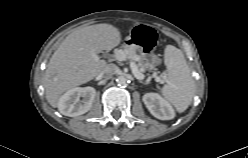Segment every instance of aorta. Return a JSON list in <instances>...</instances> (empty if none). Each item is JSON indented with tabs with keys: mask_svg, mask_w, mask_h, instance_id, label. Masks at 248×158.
I'll list each match as a JSON object with an SVG mask.
<instances>
[{
	"mask_svg": "<svg viewBox=\"0 0 248 158\" xmlns=\"http://www.w3.org/2000/svg\"><path fill=\"white\" fill-rule=\"evenodd\" d=\"M126 82H127V79L124 76H120L117 78V83L119 85H124V84H126Z\"/></svg>",
	"mask_w": 248,
	"mask_h": 158,
	"instance_id": "1",
	"label": "aorta"
}]
</instances>
